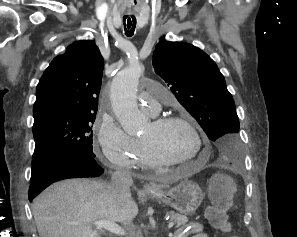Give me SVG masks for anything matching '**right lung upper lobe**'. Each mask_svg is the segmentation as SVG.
Instances as JSON below:
<instances>
[{
  "label": "right lung upper lobe",
  "instance_id": "cb5924a9",
  "mask_svg": "<svg viewBox=\"0 0 297 237\" xmlns=\"http://www.w3.org/2000/svg\"><path fill=\"white\" fill-rule=\"evenodd\" d=\"M103 67L93 41L74 43L55 57L36 87L34 123L49 115L96 113Z\"/></svg>",
  "mask_w": 297,
  "mask_h": 237
}]
</instances>
